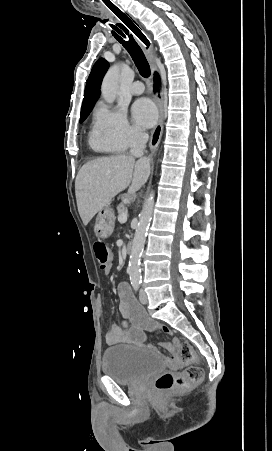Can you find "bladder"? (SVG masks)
I'll use <instances>...</instances> for the list:
<instances>
[{"label":"bladder","mask_w":272,"mask_h":451,"mask_svg":"<svg viewBox=\"0 0 272 451\" xmlns=\"http://www.w3.org/2000/svg\"><path fill=\"white\" fill-rule=\"evenodd\" d=\"M105 374L117 384H134L163 373L166 362L162 355L146 353L128 345H114L103 352Z\"/></svg>","instance_id":"obj_1"}]
</instances>
